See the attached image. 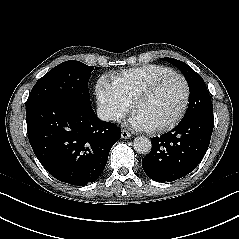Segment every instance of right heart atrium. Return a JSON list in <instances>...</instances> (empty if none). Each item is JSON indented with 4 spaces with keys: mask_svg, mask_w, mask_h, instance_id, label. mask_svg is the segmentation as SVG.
Here are the masks:
<instances>
[{
    "mask_svg": "<svg viewBox=\"0 0 239 239\" xmlns=\"http://www.w3.org/2000/svg\"><path fill=\"white\" fill-rule=\"evenodd\" d=\"M95 92L97 104L104 119L117 122L129 112V103L116 92L112 83L104 77L98 79Z\"/></svg>",
    "mask_w": 239,
    "mask_h": 239,
    "instance_id": "right-heart-atrium-1",
    "label": "right heart atrium"
}]
</instances>
